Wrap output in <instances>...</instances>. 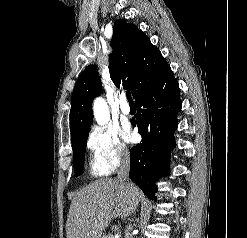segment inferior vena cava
Returning <instances> with one entry per match:
<instances>
[{"label":"inferior vena cava","instance_id":"inferior-vena-cava-1","mask_svg":"<svg viewBox=\"0 0 247 238\" xmlns=\"http://www.w3.org/2000/svg\"><path fill=\"white\" fill-rule=\"evenodd\" d=\"M130 157L127 150H122L120 153V166L117 170V180L123 182L127 187H132L129 182ZM131 238V237H130Z\"/></svg>","mask_w":247,"mask_h":238}]
</instances>
